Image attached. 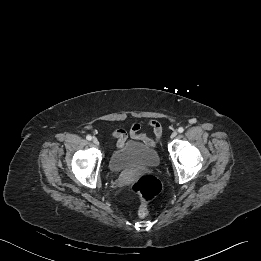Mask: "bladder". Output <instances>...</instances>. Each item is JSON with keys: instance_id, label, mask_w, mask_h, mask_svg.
Segmentation results:
<instances>
[{"instance_id": "1", "label": "bladder", "mask_w": 261, "mask_h": 261, "mask_svg": "<svg viewBox=\"0 0 261 261\" xmlns=\"http://www.w3.org/2000/svg\"><path fill=\"white\" fill-rule=\"evenodd\" d=\"M159 163L156 149L144 142L129 141L117 148L110 156L108 165L112 172L127 169L152 168Z\"/></svg>"}]
</instances>
